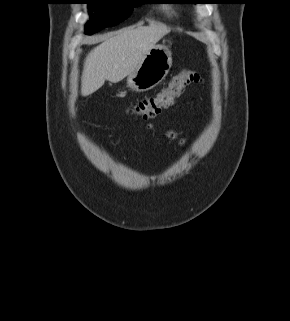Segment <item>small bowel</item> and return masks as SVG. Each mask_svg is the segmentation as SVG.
Masks as SVG:
<instances>
[{
    "instance_id": "1",
    "label": "small bowel",
    "mask_w": 290,
    "mask_h": 321,
    "mask_svg": "<svg viewBox=\"0 0 290 321\" xmlns=\"http://www.w3.org/2000/svg\"><path fill=\"white\" fill-rule=\"evenodd\" d=\"M149 128H152L153 126L151 124L148 125ZM169 136L171 138H175L176 137V134L174 132H169Z\"/></svg>"
}]
</instances>
